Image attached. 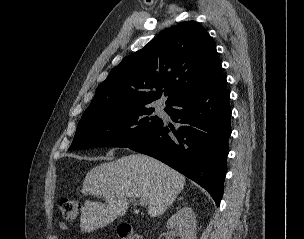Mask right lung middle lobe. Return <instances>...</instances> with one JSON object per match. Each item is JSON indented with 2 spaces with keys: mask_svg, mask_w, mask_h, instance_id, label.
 <instances>
[{
  "mask_svg": "<svg viewBox=\"0 0 304 239\" xmlns=\"http://www.w3.org/2000/svg\"><path fill=\"white\" fill-rule=\"evenodd\" d=\"M154 108L123 106L81 118L69 151L97 146L130 147L155 131L162 119Z\"/></svg>",
  "mask_w": 304,
  "mask_h": 239,
  "instance_id": "right-lung-middle-lobe-1",
  "label": "right lung middle lobe"
}]
</instances>
